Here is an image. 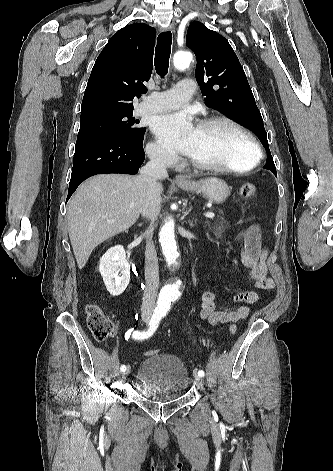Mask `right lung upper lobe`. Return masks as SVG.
<instances>
[{"label": "right lung upper lobe", "instance_id": "obj_1", "mask_svg": "<svg viewBox=\"0 0 333 471\" xmlns=\"http://www.w3.org/2000/svg\"><path fill=\"white\" fill-rule=\"evenodd\" d=\"M156 30L146 24L127 25L115 33L99 54L85 89L81 119L133 110L134 97L147 92L153 69Z\"/></svg>", "mask_w": 333, "mask_h": 471}]
</instances>
